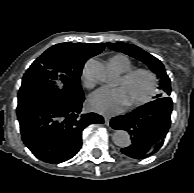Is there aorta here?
<instances>
[{
	"label": "aorta",
	"instance_id": "obj_1",
	"mask_svg": "<svg viewBox=\"0 0 194 193\" xmlns=\"http://www.w3.org/2000/svg\"><path fill=\"white\" fill-rule=\"evenodd\" d=\"M85 72L91 79L102 83H111L114 79L113 73L104 64L93 59L86 63ZM112 140L119 147H127L131 143L130 135L124 130L115 131Z\"/></svg>",
	"mask_w": 194,
	"mask_h": 193
}]
</instances>
